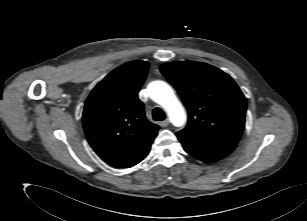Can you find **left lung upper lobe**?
Returning <instances> with one entry per match:
<instances>
[{
  "label": "left lung upper lobe",
  "mask_w": 307,
  "mask_h": 221,
  "mask_svg": "<svg viewBox=\"0 0 307 221\" xmlns=\"http://www.w3.org/2000/svg\"><path fill=\"white\" fill-rule=\"evenodd\" d=\"M161 73L177 89L187 110L182 134L237 144L245 126L246 98L222 70L202 62H170Z\"/></svg>",
  "instance_id": "left-lung-upper-lobe-1"
}]
</instances>
